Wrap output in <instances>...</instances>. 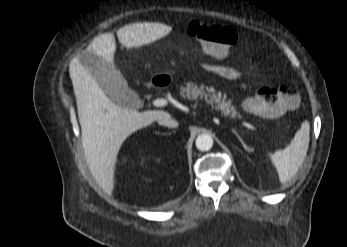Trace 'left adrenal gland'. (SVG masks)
<instances>
[{"label":"left adrenal gland","instance_id":"1","mask_svg":"<svg viewBox=\"0 0 347 247\" xmlns=\"http://www.w3.org/2000/svg\"><path fill=\"white\" fill-rule=\"evenodd\" d=\"M232 132L237 136V138L239 139V141L241 142L242 146L244 147L245 150L250 151L249 148L247 147V145L245 144V142L243 141V139L240 137V135L238 134V132L235 129H232Z\"/></svg>","mask_w":347,"mask_h":247}]
</instances>
